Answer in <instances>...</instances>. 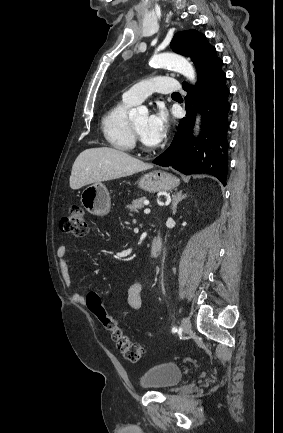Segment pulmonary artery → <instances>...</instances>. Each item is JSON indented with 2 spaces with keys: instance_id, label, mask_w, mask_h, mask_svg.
<instances>
[{
  "instance_id": "pulmonary-artery-1",
  "label": "pulmonary artery",
  "mask_w": 283,
  "mask_h": 433,
  "mask_svg": "<svg viewBox=\"0 0 283 433\" xmlns=\"http://www.w3.org/2000/svg\"><path fill=\"white\" fill-rule=\"evenodd\" d=\"M153 79H155L154 83ZM182 89V84L175 78H163L161 72H156L154 78H146L128 89L123 98L134 105L142 102L153 92H181Z\"/></svg>"
}]
</instances>
